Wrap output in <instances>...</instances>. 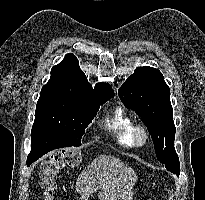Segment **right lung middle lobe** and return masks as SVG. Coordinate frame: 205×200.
Wrapping results in <instances>:
<instances>
[{
    "mask_svg": "<svg viewBox=\"0 0 205 200\" xmlns=\"http://www.w3.org/2000/svg\"><path fill=\"white\" fill-rule=\"evenodd\" d=\"M108 99L96 100L75 88L47 83L36 105L33 127L49 129L72 146H80L86 127Z\"/></svg>",
    "mask_w": 205,
    "mask_h": 200,
    "instance_id": "dd1d6c3e",
    "label": "right lung middle lobe"
}]
</instances>
